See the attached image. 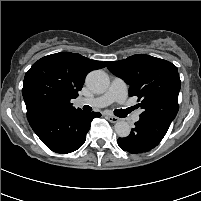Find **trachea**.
Instances as JSON below:
<instances>
[{"mask_svg": "<svg viewBox=\"0 0 201 201\" xmlns=\"http://www.w3.org/2000/svg\"><path fill=\"white\" fill-rule=\"evenodd\" d=\"M83 109L85 111H92V108L89 105H84ZM126 112L127 111L122 110V109H118V110L114 111L115 115L118 116V117H124L126 115Z\"/></svg>", "mask_w": 201, "mask_h": 201, "instance_id": "1", "label": "trachea"}]
</instances>
